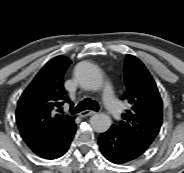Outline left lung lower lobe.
Here are the masks:
<instances>
[{
	"label": "left lung lower lobe",
	"instance_id": "left-lung-lower-lobe-1",
	"mask_svg": "<svg viewBox=\"0 0 184 173\" xmlns=\"http://www.w3.org/2000/svg\"><path fill=\"white\" fill-rule=\"evenodd\" d=\"M98 143L104 157L115 164L128 163L144 153L127 135L114 126L100 134Z\"/></svg>",
	"mask_w": 184,
	"mask_h": 173
}]
</instances>
